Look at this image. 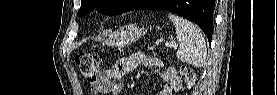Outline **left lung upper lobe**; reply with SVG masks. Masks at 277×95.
Returning a JSON list of instances; mask_svg holds the SVG:
<instances>
[{"instance_id":"obj_1","label":"left lung upper lobe","mask_w":277,"mask_h":95,"mask_svg":"<svg viewBox=\"0 0 277 95\" xmlns=\"http://www.w3.org/2000/svg\"><path fill=\"white\" fill-rule=\"evenodd\" d=\"M144 0H81L78 16H84L99 8L98 11L109 16H116L138 7ZM172 0H161L162 7L169 6Z\"/></svg>"}]
</instances>
